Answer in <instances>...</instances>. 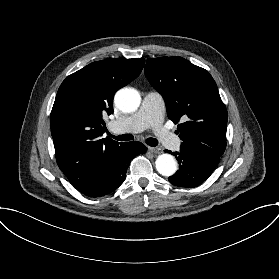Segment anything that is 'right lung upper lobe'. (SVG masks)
<instances>
[{
    "mask_svg": "<svg viewBox=\"0 0 279 279\" xmlns=\"http://www.w3.org/2000/svg\"><path fill=\"white\" fill-rule=\"evenodd\" d=\"M144 58H111L69 75L58 89L51 112L57 164L80 192L111 167L125 143L101 138L105 112H113L115 92L142 71Z\"/></svg>",
    "mask_w": 279,
    "mask_h": 279,
    "instance_id": "obj_1",
    "label": "right lung upper lobe"
}]
</instances>
